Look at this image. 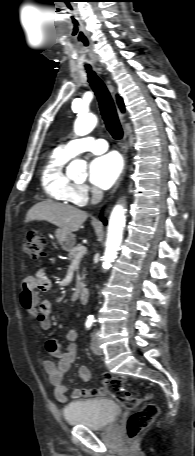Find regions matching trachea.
Listing matches in <instances>:
<instances>
[{
    "label": "trachea",
    "instance_id": "obj_1",
    "mask_svg": "<svg viewBox=\"0 0 195 456\" xmlns=\"http://www.w3.org/2000/svg\"><path fill=\"white\" fill-rule=\"evenodd\" d=\"M88 73V81L98 98L101 114L105 122L107 130L118 140L122 138L123 131L118 119L113 99L103 83V81L96 75L92 68L86 67Z\"/></svg>",
    "mask_w": 195,
    "mask_h": 456
}]
</instances>
